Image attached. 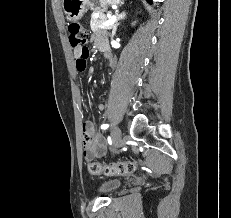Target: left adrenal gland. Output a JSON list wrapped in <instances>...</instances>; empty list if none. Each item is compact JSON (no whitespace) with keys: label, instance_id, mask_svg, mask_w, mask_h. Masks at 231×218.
Returning a JSON list of instances; mask_svg holds the SVG:
<instances>
[{"label":"left adrenal gland","instance_id":"left-adrenal-gland-1","mask_svg":"<svg viewBox=\"0 0 231 218\" xmlns=\"http://www.w3.org/2000/svg\"><path fill=\"white\" fill-rule=\"evenodd\" d=\"M116 15H117V21H116L115 25L113 26L112 35H111L112 37H114L116 34L117 27L120 24L119 21L126 18V12L119 13V11H117Z\"/></svg>","mask_w":231,"mask_h":218}]
</instances>
